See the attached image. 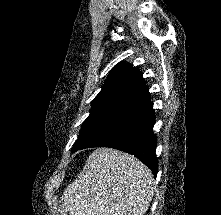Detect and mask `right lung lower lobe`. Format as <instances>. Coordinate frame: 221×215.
Wrapping results in <instances>:
<instances>
[{"instance_id": "1", "label": "right lung lower lobe", "mask_w": 221, "mask_h": 215, "mask_svg": "<svg viewBox=\"0 0 221 215\" xmlns=\"http://www.w3.org/2000/svg\"><path fill=\"white\" fill-rule=\"evenodd\" d=\"M154 122L153 103L150 102L121 118L80 149L110 147L125 151L140 159L156 176L158 163L155 155L157 139L153 133Z\"/></svg>"}]
</instances>
